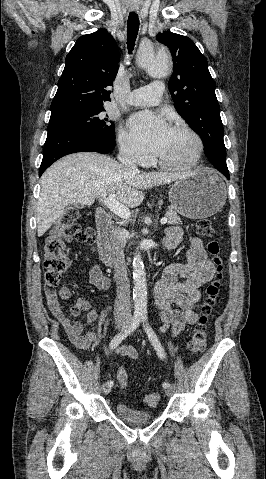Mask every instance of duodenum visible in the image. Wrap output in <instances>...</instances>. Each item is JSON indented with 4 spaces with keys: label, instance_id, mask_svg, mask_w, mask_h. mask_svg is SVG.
Segmentation results:
<instances>
[{
    "label": "duodenum",
    "instance_id": "duodenum-1",
    "mask_svg": "<svg viewBox=\"0 0 266 479\" xmlns=\"http://www.w3.org/2000/svg\"><path fill=\"white\" fill-rule=\"evenodd\" d=\"M96 234L94 240V252L105 264L115 267L116 258L110 245L108 227L111 223L109 213L100 208L95 214Z\"/></svg>",
    "mask_w": 266,
    "mask_h": 479
}]
</instances>
